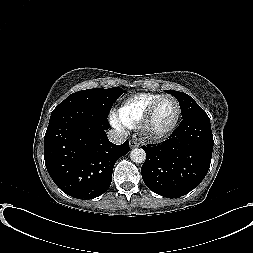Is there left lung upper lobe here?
<instances>
[{"instance_id":"left-lung-upper-lobe-1","label":"left lung upper lobe","mask_w":253,"mask_h":253,"mask_svg":"<svg viewBox=\"0 0 253 253\" xmlns=\"http://www.w3.org/2000/svg\"><path fill=\"white\" fill-rule=\"evenodd\" d=\"M165 92L173 95L178 100L181 108L182 118H186L194 114L205 113L203 109L189 95L179 91L165 90Z\"/></svg>"}]
</instances>
